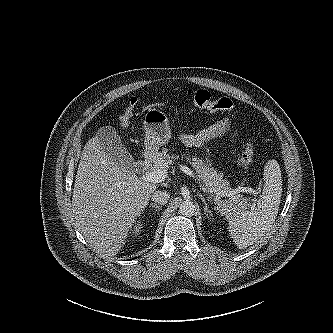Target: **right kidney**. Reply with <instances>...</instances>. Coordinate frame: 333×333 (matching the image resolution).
I'll return each instance as SVG.
<instances>
[{"label": "right kidney", "instance_id": "1", "mask_svg": "<svg viewBox=\"0 0 333 333\" xmlns=\"http://www.w3.org/2000/svg\"><path fill=\"white\" fill-rule=\"evenodd\" d=\"M140 229H141V225L140 224H137L136 226H135V235H138L139 234V232H140Z\"/></svg>", "mask_w": 333, "mask_h": 333}]
</instances>
